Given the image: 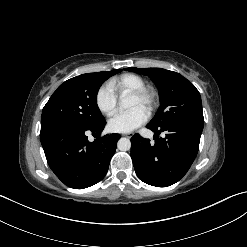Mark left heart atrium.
Here are the masks:
<instances>
[{
    "mask_svg": "<svg viewBox=\"0 0 247 247\" xmlns=\"http://www.w3.org/2000/svg\"><path fill=\"white\" fill-rule=\"evenodd\" d=\"M147 117L146 110L137 106L128 111L117 113L109 120L108 127L113 132L128 133L145 123Z\"/></svg>",
    "mask_w": 247,
    "mask_h": 247,
    "instance_id": "left-heart-atrium-1",
    "label": "left heart atrium"
}]
</instances>
